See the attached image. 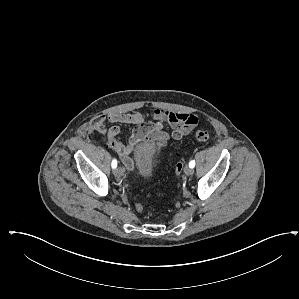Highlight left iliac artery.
<instances>
[{
    "label": "left iliac artery",
    "instance_id": "44dca946",
    "mask_svg": "<svg viewBox=\"0 0 299 299\" xmlns=\"http://www.w3.org/2000/svg\"><path fill=\"white\" fill-rule=\"evenodd\" d=\"M189 167H191V168H194V167H195V161H194V160H191V161L189 162Z\"/></svg>",
    "mask_w": 299,
    "mask_h": 299
}]
</instances>
